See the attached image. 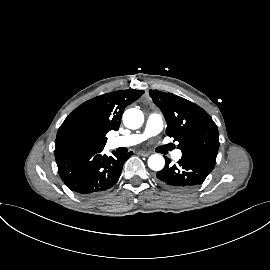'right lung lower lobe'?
I'll use <instances>...</instances> for the list:
<instances>
[{"label":"right lung lower lobe","instance_id":"98d812e1","mask_svg":"<svg viewBox=\"0 0 270 270\" xmlns=\"http://www.w3.org/2000/svg\"><path fill=\"white\" fill-rule=\"evenodd\" d=\"M104 147H82L55 152L58 172L72 191L81 195H95L114 186L124 162L133 154L103 155Z\"/></svg>","mask_w":270,"mask_h":270}]
</instances>
